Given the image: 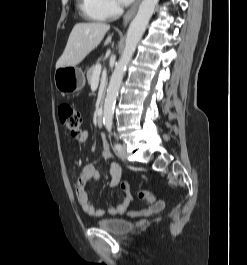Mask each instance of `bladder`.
<instances>
[{
  "instance_id": "1",
  "label": "bladder",
  "mask_w": 247,
  "mask_h": 265,
  "mask_svg": "<svg viewBox=\"0 0 247 265\" xmlns=\"http://www.w3.org/2000/svg\"><path fill=\"white\" fill-rule=\"evenodd\" d=\"M95 225L98 228L118 236L131 232L135 227L132 222L120 218L98 220L95 222Z\"/></svg>"
}]
</instances>
